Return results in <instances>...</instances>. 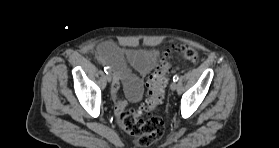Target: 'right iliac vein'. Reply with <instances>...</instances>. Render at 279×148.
<instances>
[{
	"label": "right iliac vein",
	"instance_id": "right-iliac-vein-1",
	"mask_svg": "<svg viewBox=\"0 0 279 148\" xmlns=\"http://www.w3.org/2000/svg\"><path fill=\"white\" fill-rule=\"evenodd\" d=\"M106 80H107L108 82H111V81H112V75H111L110 73H108V74L106 75Z\"/></svg>",
	"mask_w": 279,
	"mask_h": 148
}]
</instances>
